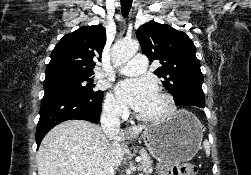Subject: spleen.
Masks as SVG:
<instances>
[{"label":"spleen","mask_w":251,"mask_h":175,"mask_svg":"<svg viewBox=\"0 0 251 175\" xmlns=\"http://www.w3.org/2000/svg\"><path fill=\"white\" fill-rule=\"evenodd\" d=\"M203 147L206 151V155H210V143H209L208 139H204Z\"/></svg>","instance_id":"3e777b00"}]
</instances>
